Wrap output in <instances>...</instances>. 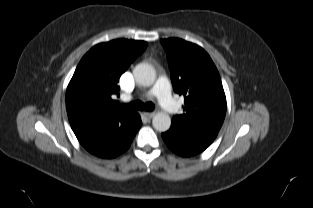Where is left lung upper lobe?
<instances>
[{
  "instance_id": "5c2ea615",
  "label": "left lung upper lobe",
  "mask_w": 313,
  "mask_h": 208,
  "mask_svg": "<svg viewBox=\"0 0 313 208\" xmlns=\"http://www.w3.org/2000/svg\"><path fill=\"white\" fill-rule=\"evenodd\" d=\"M173 89L185 100L183 113L171 126L191 136L215 139L226 114L220 75L210 56L198 45L178 38L162 39Z\"/></svg>"
}]
</instances>
